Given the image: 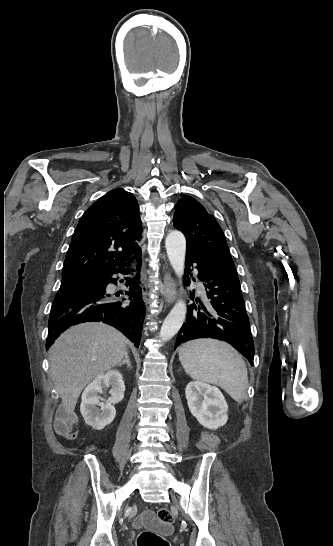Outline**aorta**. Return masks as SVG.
<instances>
[{"instance_id":"1","label":"aorta","mask_w":333,"mask_h":546,"mask_svg":"<svg viewBox=\"0 0 333 546\" xmlns=\"http://www.w3.org/2000/svg\"><path fill=\"white\" fill-rule=\"evenodd\" d=\"M165 247L170 264L176 275L181 279L184 273L186 240L184 235L175 230L170 232L165 241ZM186 304L178 301L164 320L159 337L168 341L179 331L186 316Z\"/></svg>"}]
</instances>
